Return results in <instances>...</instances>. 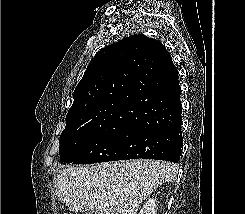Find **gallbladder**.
<instances>
[{
  "mask_svg": "<svg viewBox=\"0 0 245 214\" xmlns=\"http://www.w3.org/2000/svg\"><path fill=\"white\" fill-rule=\"evenodd\" d=\"M86 214H104L101 210H89Z\"/></svg>",
  "mask_w": 245,
  "mask_h": 214,
  "instance_id": "1",
  "label": "gallbladder"
}]
</instances>
